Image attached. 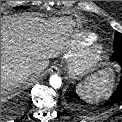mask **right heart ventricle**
Returning a JSON list of instances; mask_svg holds the SVG:
<instances>
[{"instance_id": "e07e8e85", "label": "right heart ventricle", "mask_w": 122, "mask_h": 122, "mask_svg": "<svg viewBox=\"0 0 122 122\" xmlns=\"http://www.w3.org/2000/svg\"><path fill=\"white\" fill-rule=\"evenodd\" d=\"M98 37L95 33L85 31L77 34L71 41V46L74 49L88 47L97 41Z\"/></svg>"}]
</instances>
